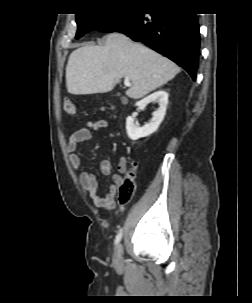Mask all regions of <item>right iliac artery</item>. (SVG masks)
Wrapping results in <instances>:
<instances>
[{
  "instance_id": "right-iliac-artery-1",
  "label": "right iliac artery",
  "mask_w": 252,
  "mask_h": 303,
  "mask_svg": "<svg viewBox=\"0 0 252 303\" xmlns=\"http://www.w3.org/2000/svg\"><path fill=\"white\" fill-rule=\"evenodd\" d=\"M121 238H122V229H120L118 234L116 235V238L114 241L115 245H117L120 242Z\"/></svg>"
}]
</instances>
